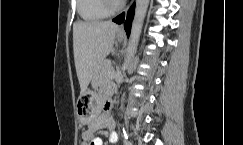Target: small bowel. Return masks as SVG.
<instances>
[{"instance_id":"small-bowel-1","label":"small bowel","mask_w":243,"mask_h":145,"mask_svg":"<svg viewBox=\"0 0 243 145\" xmlns=\"http://www.w3.org/2000/svg\"><path fill=\"white\" fill-rule=\"evenodd\" d=\"M104 113L96 117L81 133V145H104L102 138L96 137L94 133L99 129H109L110 135L109 140L112 144H117L118 135L114 131L115 122L109 115V110L111 109V103L105 100L103 103Z\"/></svg>"}]
</instances>
